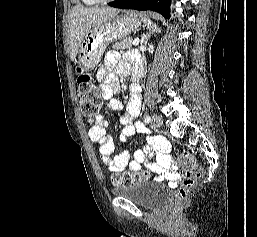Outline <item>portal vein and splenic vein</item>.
Segmentation results:
<instances>
[{"label": "portal vein and splenic vein", "mask_w": 257, "mask_h": 237, "mask_svg": "<svg viewBox=\"0 0 257 237\" xmlns=\"http://www.w3.org/2000/svg\"><path fill=\"white\" fill-rule=\"evenodd\" d=\"M139 42H140V41H139V39H138V38H136V39L132 42V44H133V45H138V44H139Z\"/></svg>", "instance_id": "18ae733b"}]
</instances>
